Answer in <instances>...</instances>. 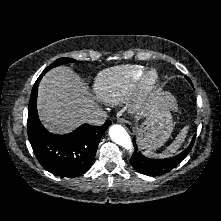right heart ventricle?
I'll return each instance as SVG.
<instances>
[{
	"label": "right heart ventricle",
	"mask_w": 221,
	"mask_h": 221,
	"mask_svg": "<svg viewBox=\"0 0 221 221\" xmlns=\"http://www.w3.org/2000/svg\"><path fill=\"white\" fill-rule=\"evenodd\" d=\"M143 66L126 64L100 72L94 82V91L101 101L116 105L123 102L133 91Z\"/></svg>",
	"instance_id": "right-heart-ventricle-1"
}]
</instances>
